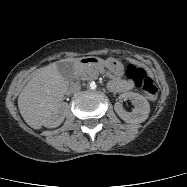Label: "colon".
<instances>
[{
	"label": "colon",
	"instance_id": "obj_1",
	"mask_svg": "<svg viewBox=\"0 0 187 187\" xmlns=\"http://www.w3.org/2000/svg\"><path fill=\"white\" fill-rule=\"evenodd\" d=\"M126 75L147 98L154 100L157 97L158 89L144 69L134 64H128Z\"/></svg>",
	"mask_w": 187,
	"mask_h": 187
}]
</instances>
